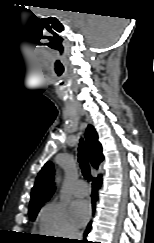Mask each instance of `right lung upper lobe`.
I'll use <instances>...</instances> for the list:
<instances>
[{
	"label": "right lung upper lobe",
	"mask_w": 154,
	"mask_h": 243,
	"mask_svg": "<svg viewBox=\"0 0 154 243\" xmlns=\"http://www.w3.org/2000/svg\"><path fill=\"white\" fill-rule=\"evenodd\" d=\"M85 137L90 162L95 168H98L104 157L102 155V146L98 141V135L92 125L88 126ZM53 175V164L52 162H47L39 172L35 185L32 188L29 208L43 204L50 199L55 189L52 186Z\"/></svg>",
	"instance_id": "right-lung-upper-lobe-1"
}]
</instances>
